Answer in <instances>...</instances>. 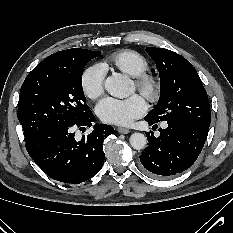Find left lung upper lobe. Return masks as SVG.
Here are the masks:
<instances>
[{
  "label": "left lung upper lobe",
  "instance_id": "5c2ea615",
  "mask_svg": "<svg viewBox=\"0 0 233 233\" xmlns=\"http://www.w3.org/2000/svg\"><path fill=\"white\" fill-rule=\"evenodd\" d=\"M160 75V98L145 118L155 122L189 119L210 126L211 111L197 71L183 56L168 49L147 47Z\"/></svg>",
  "mask_w": 233,
  "mask_h": 233
}]
</instances>
